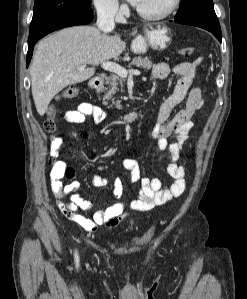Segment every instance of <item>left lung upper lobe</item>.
Here are the masks:
<instances>
[{
  "label": "left lung upper lobe",
  "mask_w": 247,
  "mask_h": 299,
  "mask_svg": "<svg viewBox=\"0 0 247 299\" xmlns=\"http://www.w3.org/2000/svg\"><path fill=\"white\" fill-rule=\"evenodd\" d=\"M198 16L219 23L212 0H181L175 19Z\"/></svg>",
  "instance_id": "1"
}]
</instances>
